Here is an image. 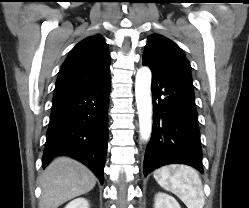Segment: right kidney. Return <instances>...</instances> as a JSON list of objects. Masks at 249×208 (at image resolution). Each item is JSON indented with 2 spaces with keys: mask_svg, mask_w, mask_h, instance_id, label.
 Wrapping results in <instances>:
<instances>
[{
  "mask_svg": "<svg viewBox=\"0 0 249 208\" xmlns=\"http://www.w3.org/2000/svg\"><path fill=\"white\" fill-rule=\"evenodd\" d=\"M65 208H89V203L85 198H77L68 203Z\"/></svg>",
  "mask_w": 249,
  "mask_h": 208,
  "instance_id": "ca27d5eb",
  "label": "right kidney"
}]
</instances>
